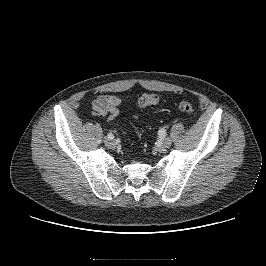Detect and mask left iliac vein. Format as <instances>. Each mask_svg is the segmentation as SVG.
<instances>
[{
  "mask_svg": "<svg viewBox=\"0 0 266 266\" xmlns=\"http://www.w3.org/2000/svg\"><path fill=\"white\" fill-rule=\"evenodd\" d=\"M171 139L170 138H168V137H165V138H163V140H162V142H161V146L163 147V148H168V147H170L171 146Z\"/></svg>",
  "mask_w": 266,
  "mask_h": 266,
  "instance_id": "obj_1",
  "label": "left iliac vein"
}]
</instances>
